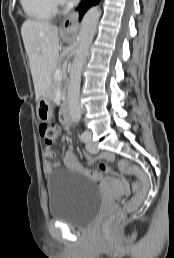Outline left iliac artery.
Masks as SVG:
<instances>
[{"mask_svg":"<svg viewBox=\"0 0 174 258\" xmlns=\"http://www.w3.org/2000/svg\"><path fill=\"white\" fill-rule=\"evenodd\" d=\"M88 139H89L88 133H87V132H83L82 135H81V140H82L83 142H87Z\"/></svg>","mask_w":174,"mask_h":258,"instance_id":"1","label":"left iliac artery"}]
</instances>
